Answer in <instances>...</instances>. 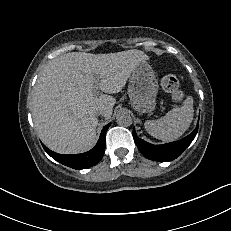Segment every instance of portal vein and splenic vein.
Returning a JSON list of instances; mask_svg holds the SVG:
<instances>
[{
	"mask_svg": "<svg viewBox=\"0 0 231 231\" xmlns=\"http://www.w3.org/2000/svg\"><path fill=\"white\" fill-rule=\"evenodd\" d=\"M98 90H99V86L98 85H94V93H98Z\"/></svg>",
	"mask_w": 231,
	"mask_h": 231,
	"instance_id": "portal-vein-and-splenic-vein-1",
	"label": "portal vein and splenic vein"
}]
</instances>
